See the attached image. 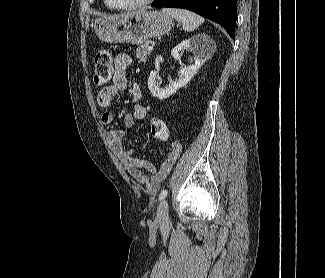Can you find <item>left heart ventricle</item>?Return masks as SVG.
<instances>
[{"label": "left heart ventricle", "mask_w": 325, "mask_h": 278, "mask_svg": "<svg viewBox=\"0 0 325 278\" xmlns=\"http://www.w3.org/2000/svg\"><path fill=\"white\" fill-rule=\"evenodd\" d=\"M110 1L114 5L123 6V5L135 4V3H138V2H140L142 0H110Z\"/></svg>", "instance_id": "obj_1"}]
</instances>
